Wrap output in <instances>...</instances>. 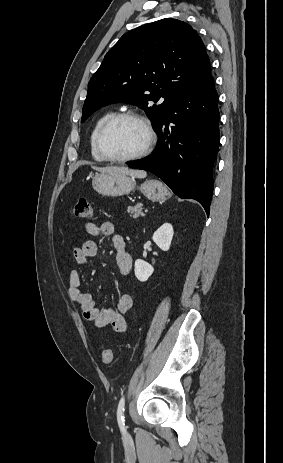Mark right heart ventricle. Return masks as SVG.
<instances>
[{
    "label": "right heart ventricle",
    "instance_id": "e07e8e85",
    "mask_svg": "<svg viewBox=\"0 0 283 463\" xmlns=\"http://www.w3.org/2000/svg\"><path fill=\"white\" fill-rule=\"evenodd\" d=\"M115 112L112 111V110H109V111H106L105 113H103L95 122L92 130H91V133H90V137H89V145H90V153H91V156L95 159V160H98V161H103L104 159L102 158V156L99 154V152L97 151V148H96V135H97V132L99 130V128L101 127V125L109 118L111 117L112 115H114Z\"/></svg>",
    "mask_w": 283,
    "mask_h": 463
}]
</instances>
